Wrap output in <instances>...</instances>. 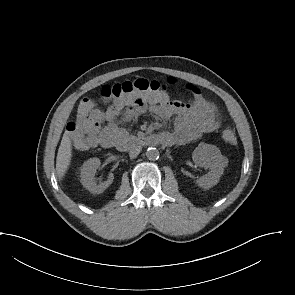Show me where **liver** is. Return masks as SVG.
<instances>
[{
  "label": "liver",
  "instance_id": "6515ba94",
  "mask_svg": "<svg viewBox=\"0 0 295 295\" xmlns=\"http://www.w3.org/2000/svg\"><path fill=\"white\" fill-rule=\"evenodd\" d=\"M72 157V144L67 134L63 135L56 158V171L59 179H62L68 170Z\"/></svg>",
  "mask_w": 295,
  "mask_h": 295
}]
</instances>
